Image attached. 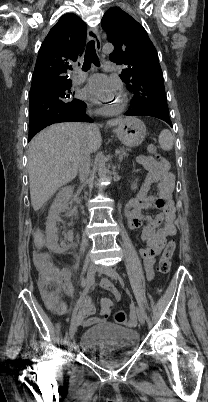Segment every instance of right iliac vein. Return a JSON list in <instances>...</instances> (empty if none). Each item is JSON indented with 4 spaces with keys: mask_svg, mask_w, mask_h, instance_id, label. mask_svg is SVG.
<instances>
[{
    "mask_svg": "<svg viewBox=\"0 0 208 402\" xmlns=\"http://www.w3.org/2000/svg\"><path fill=\"white\" fill-rule=\"evenodd\" d=\"M95 273H96V267H95L94 263L89 262L87 265V284H90L93 282ZM77 326H78V319L76 318L73 321V323L71 324L70 329H69V335H70L71 340H74V335L77 330Z\"/></svg>",
    "mask_w": 208,
    "mask_h": 402,
    "instance_id": "right-iliac-vein-1",
    "label": "right iliac vein"
}]
</instances>
